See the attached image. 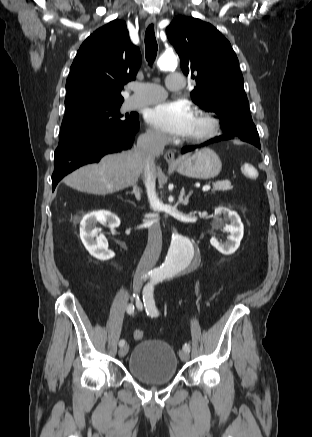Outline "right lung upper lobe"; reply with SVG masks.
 Masks as SVG:
<instances>
[{"mask_svg": "<svg viewBox=\"0 0 312 437\" xmlns=\"http://www.w3.org/2000/svg\"><path fill=\"white\" fill-rule=\"evenodd\" d=\"M140 50L126 23L114 20L97 29L80 46L66 81V107L87 103H122L124 84L136 78Z\"/></svg>", "mask_w": 312, "mask_h": 437, "instance_id": "right-lung-upper-lobe-1", "label": "right lung upper lobe"}]
</instances>
